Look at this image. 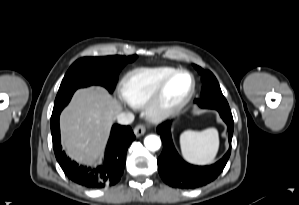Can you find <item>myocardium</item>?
I'll return each mask as SVG.
<instances>
[{"instance_id":"obj_1","label":"myocardium","mask_w":299,"mask_h":205,"mask_svg":"<svg viewBox=\"0 0 299 205\" xmlns=\"http://www.w3.org/2000/svg\"><path fill=\"white\" fill-rule=\"evenodd\" d=\"M180 75H187L190 78V88L188 92L178 101L168 103L166 92L170 84ZM196 81L193 74L187 70H176L158 86L153 96L146 104L147 115L153 122L163 121L181 111L191 100L195 93Z\"/></svg>"}]
</instances>
